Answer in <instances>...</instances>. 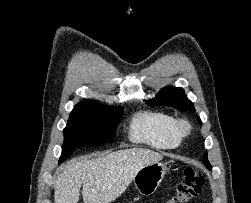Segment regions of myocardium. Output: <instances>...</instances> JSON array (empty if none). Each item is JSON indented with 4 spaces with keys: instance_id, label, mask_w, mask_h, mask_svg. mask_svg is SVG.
<instances>
[{
    "instance_id": "f54148a6",
    "label": "myocardium",
    "mask_w": 251,
    "mask_h": 203,
    "mask_svg": "<svg viewBox=\"0 0 251 203\" xmlns=\"http://www.w3.org/2000/svg\"><path fill=\"white\" fill-rule=\"evenodd\" d=\"M190 124L186 120H180L178 121V129L182 135H186L190 131Z\"/></svg>"
}]
</instances>
